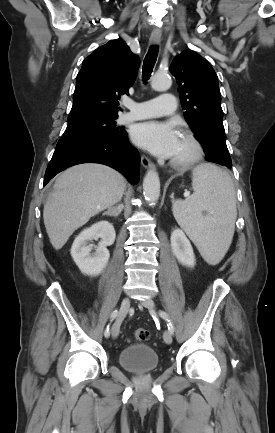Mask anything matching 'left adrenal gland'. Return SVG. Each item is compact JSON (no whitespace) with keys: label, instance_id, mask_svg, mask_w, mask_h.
<instances>
[{"label":"left adrenal gland","instance_id":"a2214340","mask_svg":"<svg viewBox=\"0 0 275 433\" xmlns=\"http://www.w3.org/2000/svg\"><path fill=\"white\" fill-rule=\"evenodd\" d=\"M171 198H172V199H174V196H173V194L171 195Z\"/></svg>","mask_w":275,"mask_h":433}]
</instances>
